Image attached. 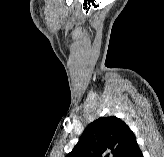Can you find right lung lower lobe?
<instances>
[{"label":"right lung lower lobe","mask_w":164,"mask_h":157,"mask_svg":"<svg viewBox=\"0 0 164 157\" xmlns=\"http://www.w3.org/2000/svg\"><path fill=\"white\" fill-rule=\"evenodd\" d=\"M123 157H143L141 150L138 147L136 140L131 143Z\"/></svg>","instance_id":"right-lung-lower-lobe-1"}]
</instances>
